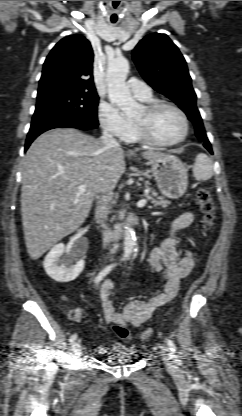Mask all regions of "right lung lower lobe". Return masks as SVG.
<instances>
[{
  "label": "right lung lower lobe",
  "instance_id": "right-lung-lower-lobe-1",
  "mask_svg": "<svg viewBox=\"0 0 242 416\" xmlns=\"http://www.w3.org/2000/svg\"><path fill=\"white\" fill-rule=\"evenodd\" d=\"M59 127H73L78 128L81 130H93L97 127L87 125L77 120L69 119V118H44L35 123L31 124V128L27 135L26 144H25V151L28 149L31 142L41 133Z\"/></svg>",
  "mask_w": 242,
  "mask_h": 416
}]
</instances>
